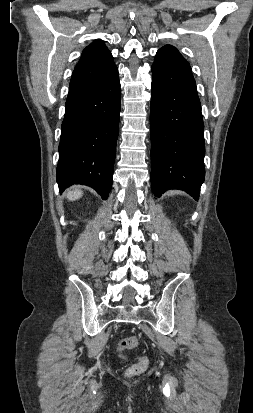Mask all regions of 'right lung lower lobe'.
I'll return each mask as SVG.
<instances>
[{"label":"right lung lower lobe","mask_w":253,"mask_h":413,"mask_svg":"<svg viewBox=\"0 0 253 413\" xmlns=\"http://www.w3.org/2000/svg\"><path fill=\"white\" fill-rule=\"evenodd\" d=\"M120 107L117 67L93 89L67 98L57 166L60 192L73 184H83L95 189L103 199L108 198Z\"/></svg>","instance_id":"obj_1"}]
</instances>
